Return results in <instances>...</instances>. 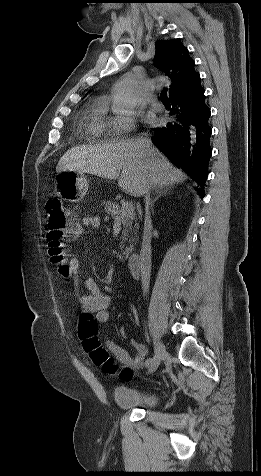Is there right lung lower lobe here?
Instances as JSON below:
<instances>
[{
    "label": "right lung lower lobe",
    "instance_id": "right-lung-lower-lobe-1",
    "mask_svg": "<svg viewBox=\"0 0 261 476\" xmlns=\"http://www.w3.org/2000/svg\"><path fill=\"white\" fill-rule=\"evenodd\" d=\"M170 121L156 128L152 142L182 168L198 184L199 194L204 193L208 177V163L212 155L209 125L210 109L206 105L200 77L187 90L170 98Z\"/></svg>",
    "mask_w": 261,
    "mask_h": 476
}]
</instances>
